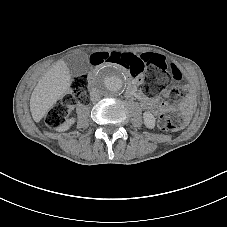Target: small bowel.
<instances>
[{"label": "small bowel", "instance_id": "small-bowel-1", "mask_svg": "<svg viewBox=\"0 0 227 227\" xmlns=\"http://www.w3.org/2000/svg\"><path fill=\"white\" fill-rule=\"evenodd\" d=\"M110 64L116 65L114 63H110ZM144 107L149 112H151L152 114H155V115H157L161 112H164L168 109V106L165 102L159 101V100H156V99H146V98H145ZM183 109H186V107L184 106Z\"/></svg>", "mask_w": 227, "mask_h": 227}]
</instances>
